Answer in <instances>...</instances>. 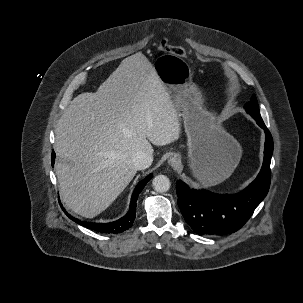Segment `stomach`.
<instances>
[{"mask_svg": "<svg viewBox=\"0 0 303 303\" xmlns=\"http://www.w3.org/2000/svg\"><path fill=\"white\" fill-rule=\"evenodd\" d=\"M153 68L165 88L173 94L183 118L188 138V162L203 186H213L229 178L242 156L238 141L216 123L204 108L199 88L192 82L188 63L171 54L159 56Z\"/></svg>", "mask_w": 303, "mask_h": 303, "instance_id": "stomach-1", "label": "stomach"}]
</instances>
